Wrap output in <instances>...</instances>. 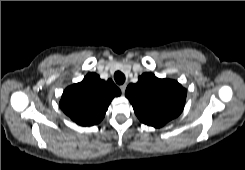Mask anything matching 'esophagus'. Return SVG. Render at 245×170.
<instances>
[{
    "mask_svg": "<svg viewBox=\"0 0 245 170\" xmlns=\"http://www.w3.org/2000/svg\"><path fill=\"white\" fill-rule=\"evenodd\" d=\"M126 87H127L126 84H123V85L120 86V89H121L122 94H124V92L126 90Z\"/></svg>",
    "mask_w": 245,
    "mask_h": 170,
    "instance_id": "obj_1",
    "label": "esophagus"
}]
</instances>
